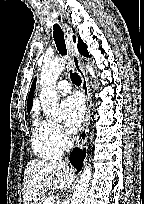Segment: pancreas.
Segmentation results:
<instances>
[{"mask_svg": "<svg viewBox=\"0 0 144 204\" xmlns=\"http://www.w3.org/2000/svg\"><path fill=\"white\" fill-rule=\"evenodd\" d=\"M49 196H43L41 199H40V202L38 204H43L44 201L48 198Z\"/></svg>", "mask_w": 144, "mask_h": 204, "instance_id": "cf45deb5", "label": "pancreas"}]
</instances>
